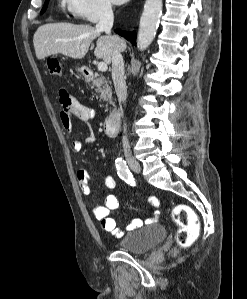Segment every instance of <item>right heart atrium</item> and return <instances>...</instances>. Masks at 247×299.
I'll return each instance as SVG.
<instances>
[{
    "mask_svg": "<svg viewBox=\"0 0 247 299\" xmlns=\"http://www.w3.org/2000/svg\"><path fill=\"white\" fill-rule=\"evenodd\" d=\"M73 2V15L90 23L109 18L113 13L111 0H73Z\"/></svg>",
    "mask_w": 247,
    "mask_h": 299,
    "instance_id": "1",
    "label": "right heart atrium"
}]
</instances>
